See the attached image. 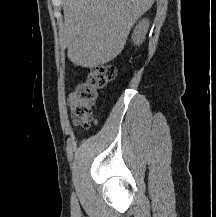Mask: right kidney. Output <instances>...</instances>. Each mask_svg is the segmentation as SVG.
Masks as SVG:
<instances>
[{
    "label": "right kidney",
    "instance_id": "right-kidney-1",
    "mask_svg": "<svg viewBox=\"0 0 216 217\" xmlns=\"http://www.w3.org/2000/svg\"><path fill=\"white\" fill-rule=\"evenodd\" d=\"M149 21L143 19L139 22V24L135 27L134 33L132 35V39L134 44L139 45L145 38V35L148 31Z\"/></svg>",
    "mask_w": 216,
    "mask_h": 217
}]
</instances>
